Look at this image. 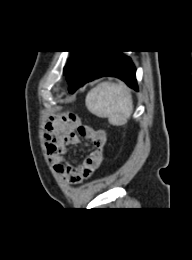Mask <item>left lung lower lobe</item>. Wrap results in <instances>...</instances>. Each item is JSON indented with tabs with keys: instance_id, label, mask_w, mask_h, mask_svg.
I'll list each match as a JSON object with an SVG mask.
<instances>
[{
	"instance_id": "0a47b994",
	"label": "left lung lower lobe",
	"mask_w": 192,
	"mask_h": 260,
	"mask_svg": "<svg viewBox=\"0 0 192 260\" xmlns=\"http://www.w3.org/2000/svg\"><path fill=\"white\" fill-rule=\"evenodd\" d=\"M136 70L129 57L119 50H104L91 60L77 88L85 83L104 76H114L123 80L129 87L138 90Z\"/></svg>"
}]
</instances>
